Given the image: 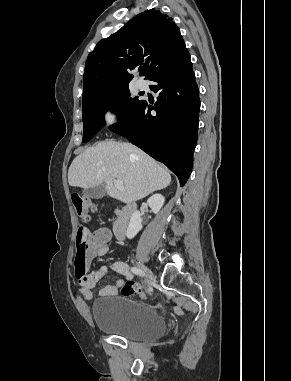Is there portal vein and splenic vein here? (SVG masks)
Returning <instances> with one entry per match:
<instances>
[{
    "label": "portal vein and splenic vein",
    "instance_id": "1",
    "mask_svg": "<svg viewBox=\"0 0 291 381\" xmlns=\"http://www.w3.org/2000/svg\"><path fill=\"white\" fill-rule=\"evenodd\" d=\"M114 185L119 189H124L123 182L121 180H114Z\"/></svg>",
    "mask_w": 291,
    "mask_h": 381
}]
</instances>
